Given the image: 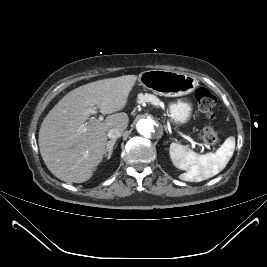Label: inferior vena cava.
<instances>
[{"label":"inferior vena cava","mask_w":267,"mask_h":267,"mask_svg":"<svg viewBox=\"0 0 267 267\" xmlns=\"http://www.w3.org/2000/svg\"><path fill=\"white\" fill-rule=\"evenodd\" d=\"M124 129L119 127V126H115L112 127L108 132H107V136L109 138L112 139H116L119 138L122 134H123Z\"/></svg>","instance_id":"1"}]
</instances>
